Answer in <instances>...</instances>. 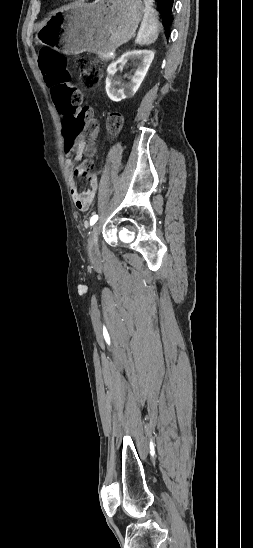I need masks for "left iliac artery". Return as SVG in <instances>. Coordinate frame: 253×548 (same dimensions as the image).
<instances>
[{
  "instance_id": "left-iliac-artery-1",
  "label": "left iliac artery",
  "mask_w": 253,
  "mask_h": 548,
  "mask_svg": "<svg viewBox=\"0 0 253 548\" xmlns=\"http://www.w3.org/2000/svg\"><path fill=\"white\" fill-rule=\"evenodd\" d=\"M98 220V215H93L90 219V225L93 226Z\"/></svg>"
}]
</instances>
